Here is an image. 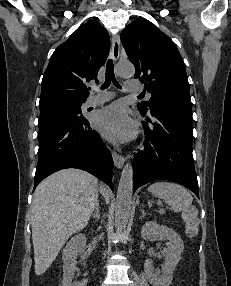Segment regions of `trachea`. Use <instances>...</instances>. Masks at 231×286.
Segmentation results:
<instances>
[{"label": "trachea", "mask_w": 231, "mask_h": 286, "mask_svg": "<svg viewBox=\"0 0 231 286\" xmlns=\"http://www.w3.org/2000/svg\"><path fill=\"white\" fill-rule=\"evenodd\" d=\"M113 82V84L117 87V88H122L120 86V84L118 83V81L115 78V74H114V65H113V60L109 59L107 61V65H106V78H105V82L104 84L101 86V89H106L109 87L110 83Z\"/></svg>", "instance_id": "3493384b"}]
</instances>
